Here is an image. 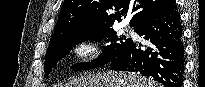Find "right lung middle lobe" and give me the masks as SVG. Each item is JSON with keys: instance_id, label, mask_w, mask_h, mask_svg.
<instances>
[{"instance_id": "dd1d6c3e", "label": "right lung middle lobe", "mask_w": 205, "mask_h": 87, "mask_svg": "<svg viewBox=\"0 0 205 87\" xmlns=\"http://www.w3.org/2000/svg\"><path fill=\"white\" fill-rule=\"evenodd\" d=\"M105 37H107L111 43L108 46H105L104 53L101 57L89 63L74 64L71 68L74 70H88L102 66L112 60L120 49L130 40L124 35L118 37L116 32L109 28L72 33L49 44L45 56V75L48 76L50 70L56 65V63L67 55L76 44L86 40L101 41Z\"/></svg>"}]
</instances>
